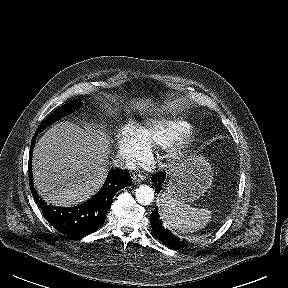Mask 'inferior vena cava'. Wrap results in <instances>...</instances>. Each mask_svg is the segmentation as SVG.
<instances>
[{
    "instance_id": "602c4592",
    "label": "inferior vena cava",
    "mask_w": 288,
    "mask_h": 288,
    "mask_svg": "<svg viewBox=\"0 0 288 288\" xmlns=\"http://www.w3.org/2000/svg\"><path fill=\"white\" fill-rule=\"evenodd\" d=\"M113 165L117 168H120V169L133 170L136 168V165H135V163L131 157L117 156L113 160Z\"/></svg>"
}]
</instances>
